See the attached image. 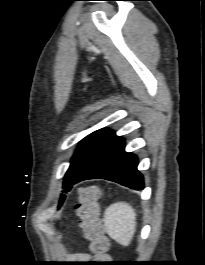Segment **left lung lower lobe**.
Masks as SVG:
<instances>
[{"instance_id":"obj_1","label":"left lung lower lobe","mask_w":205,"mask_h":265,"mask_svg":"<svg viewBox=\"0 0 205 265\" xmlns=\"http://www.w3.org/2000/svg\"><path fill=\"white\" fill-rule=\"evenodd\" d=\"M124 149V139L117 137L84 168L72 185L83 180L100 178L142 190L144 182L142 174L137 170V157Z\"/></svg>"}]
</instances>
